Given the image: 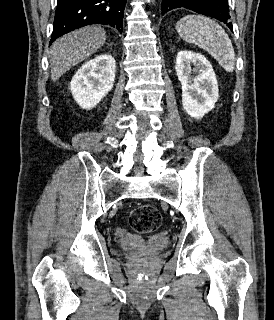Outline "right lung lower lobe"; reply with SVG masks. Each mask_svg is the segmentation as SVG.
I'll return each mask as SVG.
<instances>
[{
    "instance_id": "1",
    "label": "right lung lower lobe",
    "mask_w": 274,
    "mask_h": 320,
    "mask_svg": "<svg viewBox=\"0 0 274 320\" xmlns=\"http://www.w3.org/2000/svg\"><path fill=\"white\" fill-rule=\"evenodd\" d=\"M127 0H58L50 44L58 37L91 24H105L122 32Z\"/></svg>"
}]
</instances>
